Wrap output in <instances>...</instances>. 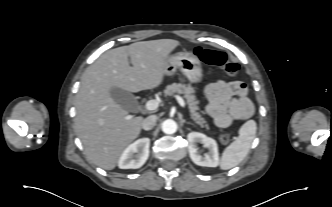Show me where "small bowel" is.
Listing matches in <instances>:
<instances>
[{"instance_id":"small-bowel-1","label":"small bowel","mask_w":332,"mask_h":207,"mask_svg":"<svg viewBox=\"0 0 332 207\" xmlns=\"http://www.w3.org/2000/svg\"><path fill=\"white\" fill-rule=\"evenodd\" d=\"M204 98L208 102V115L220 128H226L234 121H245L254 112L247 86L243 82L217 80L206 87Z\"/></svg>"}]
</instances>
